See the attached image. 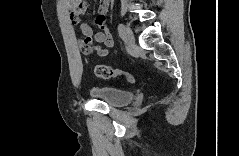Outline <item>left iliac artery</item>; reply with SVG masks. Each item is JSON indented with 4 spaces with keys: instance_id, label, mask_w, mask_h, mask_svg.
Wrapping results in <instances>:
<instances>
[{
    "instance_id": "1",
    "label": "left iliac artery",
    "mask_w": 239,
    "mask_h": 156,
    "mask_svg": "<svg viewBox=\"0 0 239 156\" xmlns=\"http://www.w3.org/2000/svg\"><path fill=\"white\" fill-rule=\"evenodd\" d=\"M124 31H125V26L123 24H119L118 25V32H119V35L121 37L124 35Z\"/></svg>"
}]
</instances>
